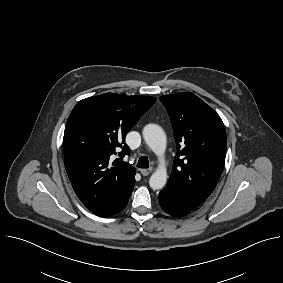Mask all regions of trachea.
Listing matches in <instances>:
<instances>
[{
	"mask_svg": "<svg viewBox=\"0 0 283 283\" xmlns=\"http://www.w3.org/2000/svg\"><path fill=\"white\" fill-rule=\"evenodd\" d=\"M137 167L139 168H148L149 167V161L146 156H142L137 163Z\"/></svg>",
	"mask_w": 283,
	"mask_h": 283,
	"instance_id": "1",
	"label": "trachea"
}]
</instances>
